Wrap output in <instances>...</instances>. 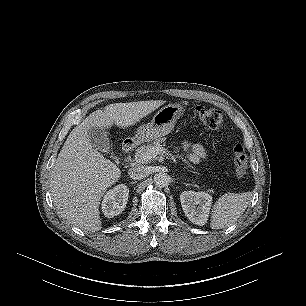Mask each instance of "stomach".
Instances as JSON below:
<instances>
[{"instance_id":"obj_1","label":"stomach","mask_w":306,"mask_h":306,"mask_svg":"<svg viewBox=\"0 0 306 306\" xmlns=\"http://www.w3.org/2000/svg\"><path fill=\"white\" fill-rule=\"evenodd\" d=\"M183 112V106L178 103L165 105L158 110L150 123L137 129L135 139L139 142H148L169 134Z\"/></svg>"}]
</instances>
